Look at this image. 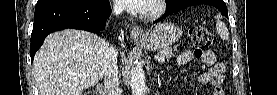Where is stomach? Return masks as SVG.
<instances>
[{
    "mask_svg": "<svg viewBox=\"0 0 277 95\" xmlns=\"http://www.w3.org/2000/svg\"><path fill=\"white\" fill-rule=\"evenodd\" d=\"M181 34L180 28L174 24L160 23L145 32L137 42L147 50L160 51L178 41Z\"/></svg>",
    "mask_w": 277,
    "mask_h": 95,
    "instance_id": "obj_1",
    "label": "stomach"
}]
</instances>
